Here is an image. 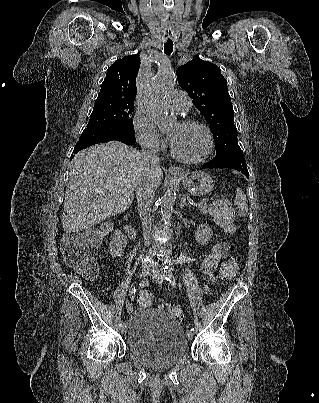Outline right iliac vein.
I'll list each match as a JSON object with an SVG mask.
<instances>
[{
  "label": "right iliac vein",
  "instance_id": "right-iliac-vein-1",
  "mask_svg": "<svg viewBox=\"0 0 319 403\" xmlns=\"http://www.w3.org/2000/svg\"><path fill=\"white\" fill-rule=\"evenodd\" d=\"M151 272V267L147 264H143L139 270V275L141 278H145ZM127 332L126 325L121 327V333L125 335Z\"/></svg>",
  "mask_w": 319,
  "mask_h": 403
}]
</instances>
